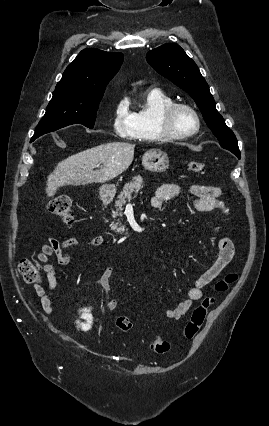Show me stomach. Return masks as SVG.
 I'll use <instances>...</instances> for the list:
<instances>
[{
	"mask_svg": "<svg viewBox=\"0 0 269 426\" xmlns=\"http://www.w3.org/2000/svg\"><path fill=\"white\" fill-rule=\"evenodd\" d=\"M142 164L149 171L164 172L169 167V159L167 154L161 150H150L143 155ZM99 192L100 195L109 197L115 194L116 187L113 184H104L100 187Z\"/></svg>",
	"mask_w": 269,
	"mask_h": 426,
	"instance_id": "stomach-1",
	"label": "stomach"
}]
</instances>
